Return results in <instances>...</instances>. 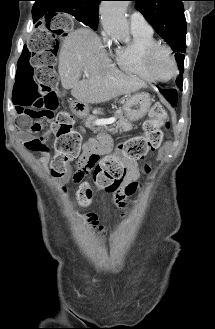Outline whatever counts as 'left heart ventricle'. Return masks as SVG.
<instances>
[{"instance_id":"left-heart-ventricle-1","label":"left heart ventricle","mask_w":215,"mask_h":329,"mask_svg":"<svg viewBox=\"0 0 215 329\" xmlns=\"http://www.w3.org/2000/svg\"><path fill=\"white\" fill-rule=\"evenodd\" d=\"M154 73L160 78H168L173 72V63L166 50H159L152 61Z\"/></svg>"}]
</instances>
